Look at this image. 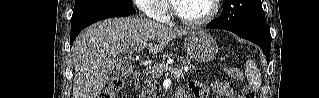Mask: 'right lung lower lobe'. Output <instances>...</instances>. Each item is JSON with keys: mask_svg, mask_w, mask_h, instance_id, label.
Instances as JSON below:
<instances>
[{"mask_svg": "<svg viewBox=\"0 0 319 98\" xmlns=\"http://www.w3.org/2000/svg\"><path fill=\"white\" fill-rule=\"evenodd\" d=\"M135 9L118 5H102L86 7L74 10L71 19L70 43L72 44L76 36L85 27L103 19L110 17H124L132 15Z\"/></svg>", "mask_w": 319, "mask_h": 98, "instance_id": "1", "label": "right lung lower lobe"}]
</instances>
